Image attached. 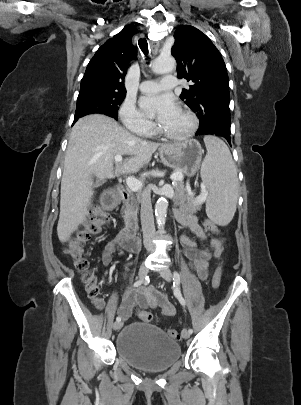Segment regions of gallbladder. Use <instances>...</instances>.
Returning <instances> with one entry per match:
<instances>
[{
	"label": "gallbladder",
	"mask_w": 301,
	"mask_h": 405,
	"mask_svg": "<svg viewBox=\"0 0 301 405\" xmlns=\"http://www.w3.org/2000/svg\"><path fill=\"white\" fill-rule=\"evenodd\" d=\"M103 180H97L94 184V187H99L100 185H102Z\"/></svg>",
	"instance_id": "obj_1"
}]
</instances>
